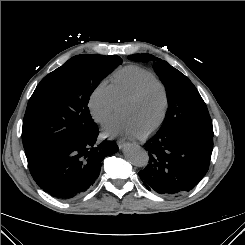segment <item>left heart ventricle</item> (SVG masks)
Wrapping results in <instances>:
<instances>
[{
	"instance_id": "b2bd125f",
	"label": "left heart ventricle",
	"mask_w": 245,
	"mask_h": 245,
	"mask_svg": "<svg viewBox=\"0 0 245 245\" xmlns=\"http://www.w3.org/2000/svg\"><path fill=\"white\" fill-rule=\"evenodd\" d=\"M163 109V94L156 85L147 87L134 101L120 108L122 116L140 134L151 128Z\"/></svg>"
}]
</instances>
